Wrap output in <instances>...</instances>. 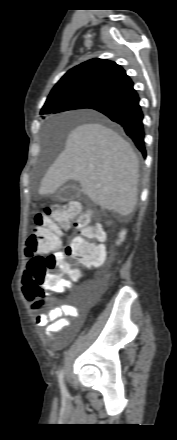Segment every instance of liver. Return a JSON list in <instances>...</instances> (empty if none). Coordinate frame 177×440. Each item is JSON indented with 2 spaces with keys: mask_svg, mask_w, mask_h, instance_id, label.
I'll return each instance as SVG.
<instances>
[{
  "mask_svg": "<svg viewBox=\"0 0 177 440\" xmlns=\"http://www.w3.org/2000/svg\"><path fill=\"white\" fill-rule=\"evenodd\" d=\"M102 209L129 215L137 203L139 161L131 145L100 123L74 128L65 148L44 175L40 195L55 193L68 180Z\"/></svg>",
  "mask_w": 177,
  "mask_h": 440,
  "instance_id": "liver-1",
  "label": "liver"
}]
</instances>
